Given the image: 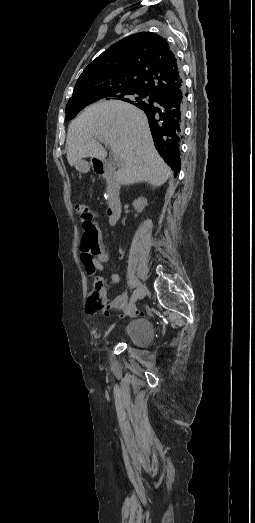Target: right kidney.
<instances>
[{"mask_svg":"<svg viewBox=\"0 0 255 523\" xmlns=\"http://www.w3.org/2000/svg\"><path fill=\"white\" fill-rule=\"evenodd\" d=\"M145 206H147L146 198H137V200L133 202V208H135L137 212H143Z\"/></svg>","mask_w":255,"mask_h":523,"instance_id":"obj_1","label":"right kidney"}]
</instances>
